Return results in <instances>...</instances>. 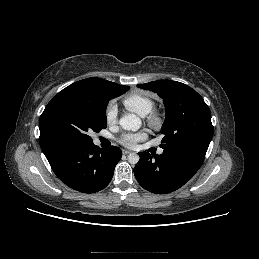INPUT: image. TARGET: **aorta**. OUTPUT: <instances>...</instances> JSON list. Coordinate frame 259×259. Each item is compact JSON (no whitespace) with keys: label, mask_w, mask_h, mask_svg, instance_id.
<instances>
[{"label":"aorta","mask_w":259,"mask_h":259,"mask_svg":"<svg viewBox=\"0 0 259 259\" xmlns=\"http://www.w3.org/2000/svg\"><path fill=\"white\" fill-rule=\"evenodd\" d=\"M119 124L124 130L137 131L141 127L142 122L135 114H126L120 118ZM139 159V155L136 153H130L128 155V162L130 164H137Z\"/></svg>","instance_id":"1"}]
</instances>
